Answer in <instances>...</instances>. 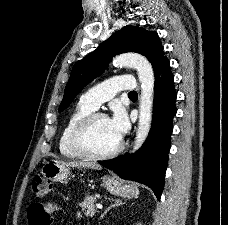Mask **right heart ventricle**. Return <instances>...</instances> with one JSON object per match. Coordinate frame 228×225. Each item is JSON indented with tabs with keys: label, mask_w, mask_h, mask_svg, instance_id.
<instances>
[{
	"label": "right heart ventricle",
	"mask_w": 228,
	"mask_h": 225,
	"mask_svg": "<svg viewBox=\"0 0 228 225\" xmlns=\"http://www.w3.org/2000/svg\"><path fill=\"white\" fill-rule=\"evenodd\" d=\"M94 110L80 101L70 113L67 122L61 132L59 138V151L62 156L70 159L83 158L81 154L77 153L71 146V135L80 120L92 113Z\"/></svg>",
	"instance_id": "obj_1"
}]
</instances>
